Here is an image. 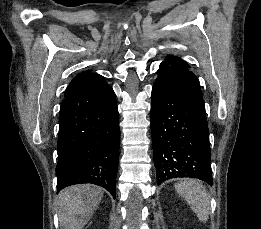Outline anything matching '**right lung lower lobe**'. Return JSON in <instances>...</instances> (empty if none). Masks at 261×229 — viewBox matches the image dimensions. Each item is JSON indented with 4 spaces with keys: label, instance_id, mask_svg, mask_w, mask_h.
Segmentation results:
<instances>
[{
    "label": "right lung lower lobe",
    "instance_id": "obj_1",
    "mask_svg": "<svg viewBox=\"0 0 261 229\" xmlns=\"http://www.w3.org/2000/svg\"><path fill=\"white\" fill-rule=\"evenodd\" d=\"M119 141L116 96L104 77L69 93L60 109L57 191L90 183L115 199Z\"/></svg>",
    "mask_w": 261,
    "mask_h": 229
}]
</instances>
